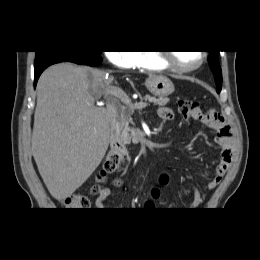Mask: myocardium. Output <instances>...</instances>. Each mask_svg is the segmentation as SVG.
<instances>
[{"label": "myocardium", "instance_id": "1", "mask_svg": "<svg viewBox=\"0 0 260 260\" xmlns=\"http://www.w3.org/2000/svg\"><path fill=\"white\" fill-rule=\"evenodd\" d=\"M155 53L168 67L180 72H190L196 70L204 63L206 59V53L204 51H200V59L197 63L193 65H182L175 60L171 51L164 50Z\"/></svg>", "mask_w": 260, "mask_h": 260}]
</instances>
